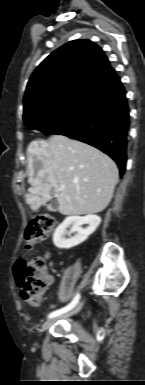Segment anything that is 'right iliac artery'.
<instances>
[{"instance_id":"obj_1","label":"right iliac artery","mask_w":145,"mask_h":385,"mask_svg":"<svg viewBox=\"0 0 145 385\" xmlns=\"http://www.w3.org/2000/svg\"><path fill=\"white\" fill-rule=\"evenodd\" d=\"M79 299H80V294H77L74 299L65 307L61 308V309H58V310H55L53 312H51L49 315H48V318H53V317H57L61 314H64L68 311H70L71 309H73L79 302Z\"/></svg>"}]
</instances>
